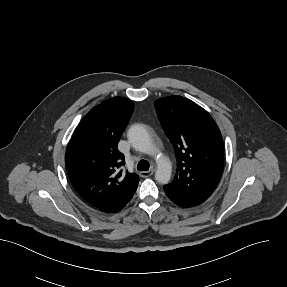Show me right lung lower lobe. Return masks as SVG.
<instances>
[{
    "mask_svg": "<svg viewBox=\"0 0 287 287\" xmlns=\"http://www.w3.org/2000/svg\"><path fill=\"white\" fill-rule=\"evenodd\" d=\"M136 191V190H135ZM135 191L127 193L123 196H120L114 200H111L99 207H96L99 211L105 213H113L120 211L133 197Z\"/></svg>",
    "mask_w": 287,
    "mask_h": 287,
    "instance_id": "1",
    "label": "right lung lower lobe"
}]
</instances>
